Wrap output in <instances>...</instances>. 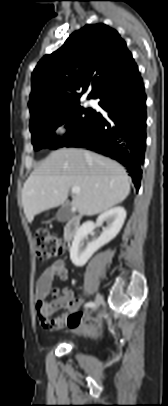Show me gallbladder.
Returning a JSON list of instances; mask_svg holds the SVG:
<instances>
[{"label": "gallbladder", "mask_w": 168, "mask_h": 406, "mask_svg": "<svg viewBox=\"0 0 168 406\" xmlns=\"http://www.w3.org/2000/svg\"><path fill=\"white\" fill-rule=\"evenodd\" d=\"M74 215V212L71 209V203L66 202L61 206V208L56 213V219L60 222H65L71 219Z\"/></svg>", "instance_id": "1"}]
</instances>
